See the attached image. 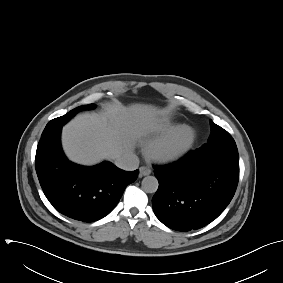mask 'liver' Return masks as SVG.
Instances as JSON below:
<instances>
[{
	"instance_id": "6515ba94",
	"label": "liver",
	"mask_w": 283,
	"mask_h": 283,
	"mask_svg": "<svg viewBox=\"0 0 283 283\" xmlns=\"http://www.w3.org/2000/svg\"><path fill=\"white\" fill-rule=\"evenodd\" d=\"M163 113L150 105L132 104L78 115L63 128V149L70 160L83 165L114 160L132 152L135 142L156 126Z\"/></svg>"
}]
</instances>
